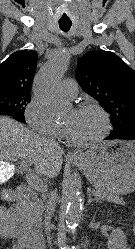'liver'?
<instances>
[{
	"label": "liver",
	"instance_id": "6515ba94",
	"mask_svg": "<svg viewBox=\"0 0 135 249\" xmlns=\"http://www.w3.org/2000/svg\"><path fill=\"white\" fill-rule=\"evenodd\" d=\"M61 147L43 138L16 120L0 116V164L26 159L42 176L56 177L63 163ZM7 177L0 178V183Z\"/></svg>",
	"mask_w": 135,
	"mask_h": 249
}]
</instances>
